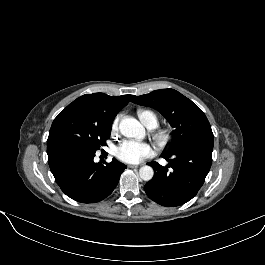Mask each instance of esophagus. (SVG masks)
<instances>
[{
  "instance_id": "34e87169",
  "label": "esophagus",
  "mask_w": 265,
  "mask_h": 265,
  "mask_svg": "<svg viewBox=\"0 0 265 265\" xmlns=\"http://www.w3.org/2000/svg\"><path fill=\"white\" fill-rule=\"evenodd\" d=\"M141 165H128L129 168H138Z\"/></svg>"
}]
</instances>
